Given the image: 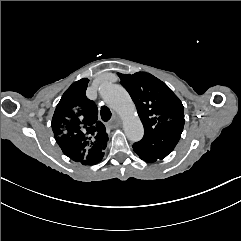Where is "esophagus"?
<instances>
[{"mask_svg":"<svg viewBox=\"0 0 241 241\" xmlns=\"http://www.w3.org/2000/svg\"><path fill=\"white\" fill-rule=\"evenodd\" d=\"M114 122L113 123H110V126L112 127V128H115V126L117 125V124H119V121H118V119L114 116Z\"/></svg>","mask_w":241,"mask_h":241,"instance_id":"esophagus-1","label":"esophagus"}]
</instances>
